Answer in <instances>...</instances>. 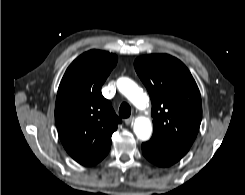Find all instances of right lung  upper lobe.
<instances>
[{
    "mask_svg": "<svg viewBox=\"0 0 245 195\" xmlns=\"http://www.w3.org/2000/svg\"><path fill=\"white\" fill-rule=\"evenodd\" d=\"M117 56L90 50L67 68L59 85L55 122L68 154L84 166L95 165L109 152L112 133L121 123L101 87Z\"/></svg>",
    "mask_w": 245,
    "mask_h": 195,
    "instance_id": "1",
    "label": "right lung upper lobe"
}]
</instances>
